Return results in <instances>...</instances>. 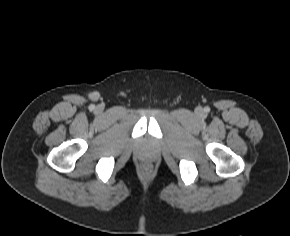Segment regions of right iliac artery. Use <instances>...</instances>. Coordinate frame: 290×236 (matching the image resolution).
Wrapping results in <instances>:
<instances>
[{
	"mask_svg": "<svg viewBox=\"0 0 290 236\" xmlns=\"http://www.w3.org/2000/svg\"><path fill=\"white\" fill-rule=\"evenodd\" d=\"M94 108H95L94 105H90V106H89V109H90V110H94Z\"/></svg>",
	"mask_w": 290,
	"mask_h": 236,
	"instance_id": "right-iliac-artery-1",
	"label": "right iliac artery"
}]
</instances>
